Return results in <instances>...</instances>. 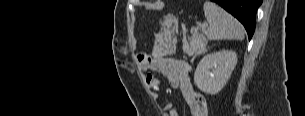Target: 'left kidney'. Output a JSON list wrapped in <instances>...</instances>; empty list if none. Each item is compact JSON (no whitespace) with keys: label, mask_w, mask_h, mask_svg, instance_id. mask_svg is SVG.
<instances>
[{"label":"left kidney","mask_w":305,"mask_h":116,"mask_svg":"<svg viewBox=\"0 0 305 116\" xmlns=\"http://www.w3.org/2000/svg\"><path fill=\"white\" fill-rule=\"evenodd\" d=\"M236 64L237 54L234 51L207 54L197 65L194 82L204 93L215 95L226 85Z\"/></svg>","instance_id":"obj_1"}]
</instances>
